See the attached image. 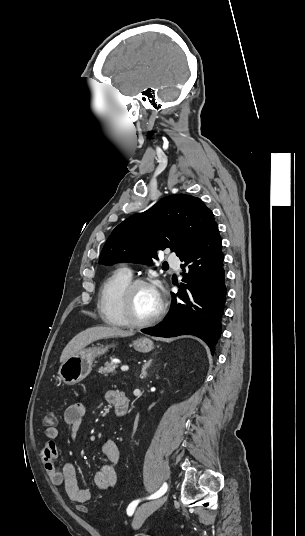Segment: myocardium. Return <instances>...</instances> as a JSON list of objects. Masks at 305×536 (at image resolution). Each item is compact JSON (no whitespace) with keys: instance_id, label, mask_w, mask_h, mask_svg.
<instances>
[{"instance_id":"1","label":"myocardium","mask_w":305,"mask_h":536,"mask_svg":"<svg viewBox=\"0 0 305 536\" xmlns=\"http://www.w3.org/2000/svg\"><path fill=\"white\" fill-rule=\"evenodd\" d=\"M141 285H150L156 288L154 282L150 281L147 278H137L131 280L122 290L120 296V306L122 314L126 320L127 325L130 326H144L150 323H153L160 319L165 313L166 305L164 301L160 298V306L158 310L150 316L147 317H138L133 313L131 305V296L134 289Z\"/></svg>"}]
</instances>
